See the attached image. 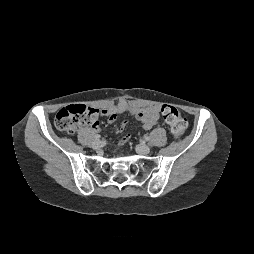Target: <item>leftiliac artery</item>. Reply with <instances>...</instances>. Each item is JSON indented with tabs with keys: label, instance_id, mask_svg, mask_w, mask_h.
Returning a JSON list of instances; mask_svg holds the SVG:
<instances>
[{
	"label": "left iliac artery",
	"instance_id": "left-iliac-artery-1",
	"mask_svg": "<svg viewBox=\"0 0 254 254\" xmlns=\"http://www.w3.org/2000/svg\"><path fill=\"white\" fill-rule=\"evenodd\" d=\"M144 139H145L146 141H148V140H149V137H148L147 135H145V136H144Z\"/></svg>",
	"mask_w": 254,
	"mask_h": 254
}]
</instances>
